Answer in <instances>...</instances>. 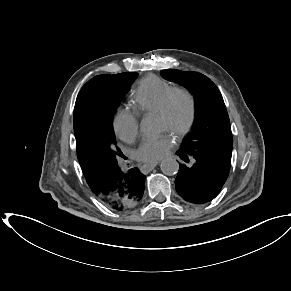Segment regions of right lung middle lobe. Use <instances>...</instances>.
<instances>
[{"mask_svg": "<svg viewBox=\"0 0 291 291\" xmlns=\"http://www.w3.org/2000/svg\"><path fill=\"white\" fill-rule=\"evenodd\" d=\"M137 73L98 75L79 92L74 132L79 148L101 165H113L122 152L116 147L113 116Z\"/></svg>", "mask_w": 291, "mask_h": 291, "instance_id": "obj_1", "label": "right lung middle lobe"}]
</instances>
